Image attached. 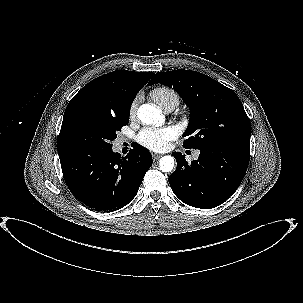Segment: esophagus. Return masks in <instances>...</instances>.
I'll use <instances>...</instances> for the list:
<instances>
[{
	"instance_id": "34e87169",
	"label": "esophagus",
	"mask_w": 303,
	"mask_h": 303,
	"mask_svg": "<svg viewBox=\"0 0 303 303\" xmlns=\"http://www.w3.org/2000/svg\"><path fill=\"white\" fill-rule=\"evenodd\" d=\"M152 156H153L154 160H158L162 155L161 154H157V153H153Z\"/></svg>"
}]
</instances>
